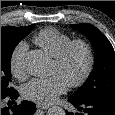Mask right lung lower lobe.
<instances>
[{
  "label": "right lung lower lobe",
  "instance_id": "obj_1",
  "mask_svg": "<svg viewBox=\"0 0 115 115\" xmlns=\"http://www.w3.org/2000/svg\"><path fill=\"white\" fill-rule=\"evenodd\" d=\"M18 98V92L13 90L9 94L1 95V103L4 99H12L13 102ZM36 111V106L33 102L22 101L21 104H15L13 107H1V115H32Z\"/></svg>",
  "mask_w": 115,
  "mask_h": 115
}]
</instances>
